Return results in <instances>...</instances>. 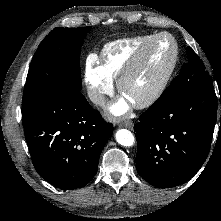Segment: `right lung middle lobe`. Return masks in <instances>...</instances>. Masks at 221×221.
<instances>
[{"instance_id":"1","label":"right lung middle lobe","mask_w":221,"mask_h":221,"mask_svg":"<svg viewBox=\"0 0 221 221\" xmlns=\"http://www.w3.org/2000/svg\"><path fill=\"white\" fill-rule=\"evenodd\" d=\"M91 27L52 30L40 43L29 67L22 101V115L49 92L81 89L79 55Z\"/></svg>"}]
</instances>
